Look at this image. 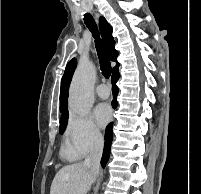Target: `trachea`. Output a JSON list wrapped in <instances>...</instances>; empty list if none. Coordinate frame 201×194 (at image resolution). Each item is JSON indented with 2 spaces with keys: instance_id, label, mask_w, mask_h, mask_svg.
<instances>
[{
  "instance_id": "trachea-1",
  "label": "trachea",
  "mask_w": 201,
  "mask_h": 194,
  "mask_svg": "<svg viewBox=\"0 0 201 194\" xmlns=\"http://www.w3.org/2000/svg\"><path fill=\"white\" fill-rule=\"evenodd\" d=\"M84 22L88 27V29L91 31L93 37L95 38V45L97 49V55L99 58L100 69L102 71V74L105 78H109L111 75L112 68L106 49L103 45L102 40L99 37V31L97 25L90 14H85Z\"/></svg>"
}]
</instances>
